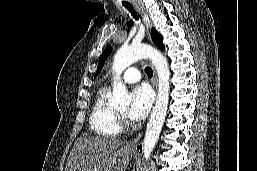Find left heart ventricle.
<instances>
[{
	"label": "left heart ventricle",
	"instance_id": "1",
	"mask_svg": "<svg viewBox=\"0 0 257 171\" xmlns=\"http://www.w3.org/2000/svg\"><path fill=\"white\" fill-rule=\"evenodd\" d=\"M118 112H120L123 115H127V108L126 107L121 108V109L118 110Z\"/></svg>",
	"mask_w": 257,
	"mask_h": 171
}]
</instances>
